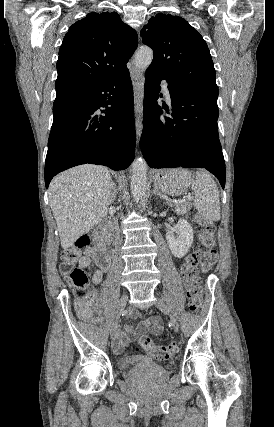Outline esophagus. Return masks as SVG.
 I'll return each mask as SVG.
<instances>
[{
	"label": "esophagus",
	"instance_id": "34e87169",
	"mask_svg": "<svg viewBox=\"0 0 274 427\" xmlns=\"http://www.w3.org/2000/svg\"><path fill=\"white\" fill-rule=\"evenodd\" d=\"M130 76L134 90L136 132L138 137H140L142 131L144 76L134 67L130 69Z\"/></svg>",
	"mask_w": 274,
	"mask_h": 427
}]
</instances>
